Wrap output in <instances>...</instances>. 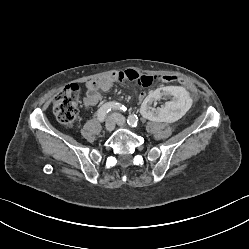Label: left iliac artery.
Segmentation results:
<instances>
[{
	"label": "left iliac artery",
	"instance_id": "obj_1",
	"mask_svg": "<svg viewBox=\"0 0 249 249\" xmlns=\"http://www.w3.org/2000/svg\"><path fill=\"white\" fill-rule=\"evenodd\" d=\"M127 123L131 127H136L138 125V117L136 115H130L127 119Z\"/></svg>",
	"mask_w": 249,
	"mask_h": 249
}]
</instances>
